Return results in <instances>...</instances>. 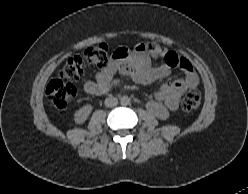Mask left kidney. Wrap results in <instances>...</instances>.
Listing matches in <instances>:
<instances>
[{"label": "left kidney", "mask_w": 248, "mask_h": 194, "mask_svg": "<svg viewBox=\"0 0 248 194\" xmlns=\"http://www.w3.org/2000/svg\"><path fill=\"white\" fill-rule=\"evenodd\" d=\"M161 110L163 111V113L166 112V109L162 106H160ZM163 113H159V112H156L155 115L158 117V118H163L164 117V114Z\"/></svg>", "instance_id": "5707ae66"}]
</instances>
